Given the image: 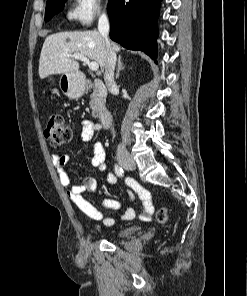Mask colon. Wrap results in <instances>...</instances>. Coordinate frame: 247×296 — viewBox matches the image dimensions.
I'll use <instances>...</instances> for the list:
<instances>
[{
  "label": "colon",
  "instance_id": "colon-1",
  "mask_svg": "<svg viewBox=\"0 0 247 296\" xmlns=\"http://www.w3.org/2000/svg\"><path fill=\"white\" fill-rule=\"evenodd\" d=\"M45 134L49 141L57 146L71 142L74 136L72 127L60 114H53L50 117ZM146 217L148 218L149 215L147 214ZM156 217L160 223H165L168 218L167 210L164 207L158 208Z\"/></svg>",
  "mask_w": 247,
  "mask_h": 296
}]
</instances>
